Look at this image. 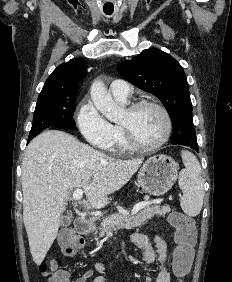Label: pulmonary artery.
Listing matches in <instances>:
<instances>
[{
    "label": "pulmonary artery",
    "instance_id": "e3ab8cb5",
    "mask_svg": "<svg viewBox=\"0 0 232 282\" xmlns=\"http://www.w3.org/2000/svg\"><path fill=\"white\" fill-rule=\"evenodd\" d=\"M112 96L118 101H126L131 93L130 85L123 80H114L109 88Z\"/></svg>",
    "mask_w": 232,
    "mask_h": 282
}]
</instances>
